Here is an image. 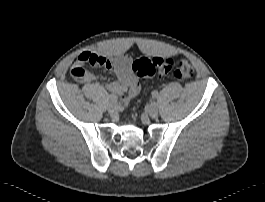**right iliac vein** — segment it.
Returning a JSON list of instances; mask_svg holds the SVG:
<instances>
[{
  "label": "right iliac vein",
  "instance_id": "right-iliac-vein-1",
  "mask_svg": "<svg viewBox=\"0 0 265 202\" xmlns=\"http://www.w3.org/2000/svg\"><path fill=\"white\" fill-rule=\"evenodd\" d=\"M118 109H119V106H118V104L116 102L111 103L108 106V112H109L110 115L116 114L118 112Z\"/></svg>",
  "mask_w": 265,
  "mask_h": 202
}]
</instances>
